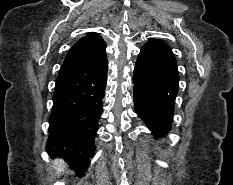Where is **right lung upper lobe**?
I'll return each instance as SVG.
<instances>
[{
    "mask_svg": "<svg viewBox=\"0 0 233 185\" xmlns=\"http://www.w3.org/2000/svg\"><path fill=\"white\" fill-rule=\"evenodd\" d=\"M106 43L97 33L80 39L67 53L64 63H99L106 57Z\"/></svg>",
    "mask_w": 233,
    "mask_h": 185,
    "instance_id": "1",
    "label": "right lung upper lobe"
}]
</instances>
